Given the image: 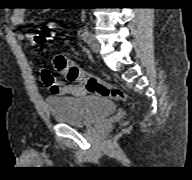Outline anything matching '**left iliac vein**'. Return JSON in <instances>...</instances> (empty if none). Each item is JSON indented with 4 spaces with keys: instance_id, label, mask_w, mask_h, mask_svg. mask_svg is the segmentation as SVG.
<instances>
[{
    "instance_id": "left-iliac-vein-1",
    "label": "left iliac vein",
    "mask_w": 192,
    "mask_h": 180,
    "mask_svg": "<svg viewBox=\"0 0 192 180\" xmlns=\"http://www.w3.org/2000/svg\"><path fill=\"white\" fill-rule=\"evenodd\" d=\"M88 44L94 53H98L100 51V43L93 34H90Z\"/></svg>"
}]
</instances>
